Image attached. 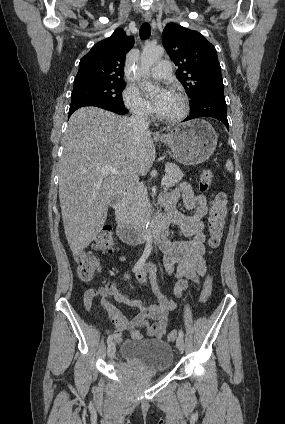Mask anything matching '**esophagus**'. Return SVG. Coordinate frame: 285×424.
<instances>
[{"mask_svg": "<svg viewBox=\"0 0 285 424\" xmlns=\"http://www.w3.org/2000/svg\"><path fill=\"white\" fill-rule=\"evenodd\" d=\"M144 18L146 22H150L152 19V14L150 12H145ZM154 135L159 136L160 134L158 132H155Z\"/></svg>", "mask_w": 285, "mask_h": 424, "instance_id": "esophagus-1", "label": "esophagus"}]
</instances>
